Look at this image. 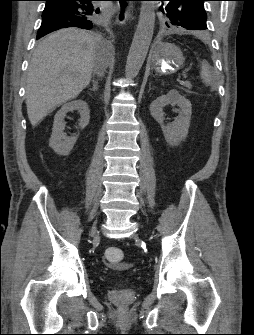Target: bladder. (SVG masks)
<instances>
[{
    "label": "bladder",
    "mask_w": 254,
    "mask_h": 335,
    "mask_svg": "<svg viewBox=\"0 0 254 335\" xmlns=\"http://www.w3.org/2000/svg\"><path fill=\"white\" fill-rule=\"evenodd\" d=\"M122 283H123V279L119 278V284L122 285Z\"/></svg>",
    "instance_id": "obj_1"
}]
</instances>
